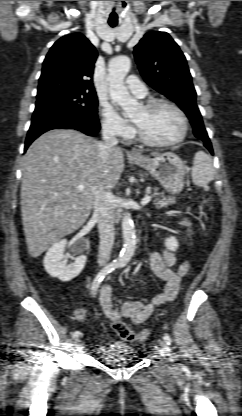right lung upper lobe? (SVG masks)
<instances>
[{"label":"right lung upper lobe","mask_w":242,"mask_h":416,"mask_svg":"<svg viewBox=\"0 0 242 416\" xmlns=\"http://www.w3.org/2000/svg\"><path fill=\"white\" fill-rule=\"evenodd\" d=\"M97 56L95 47L84 35L61 37L43 62L37 96L63 88L94 92L91 78Z\"/></svg>","instance_id":"1"}]
</instances>
